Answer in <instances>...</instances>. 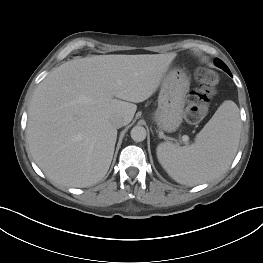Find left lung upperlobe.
<instances>
[{
  "mask_svg": "<svg viewBox=\"0 0 263 263\" xmlns=\"http://www.w3.org/2000/svg\"><path fill=\"white\" fill-rule=\"evenodd\" d=\"M214 63L216 66L222 68L224 71H226L229 75H231V72L229 70V68L225 65V63L223 61H221L220 59L216 58L214 60Z\"/></svg>",
  "mask_w": 263,
  "mask_h": 263,
  "instance_id": "5c2ea615",
  "label": "left lung upper lobe"
}]
</instances>
